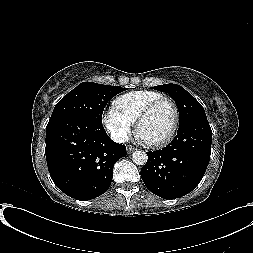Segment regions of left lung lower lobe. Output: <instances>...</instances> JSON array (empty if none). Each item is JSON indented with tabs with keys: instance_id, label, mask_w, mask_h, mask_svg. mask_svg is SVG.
Here are the masks:
<instances>
[{
	"instance_id": "obj_1",
	"label": "left lung lower lobe",
	"mask_w": 253,
	"mask_h": 253,
	"mask_svg": "<svg viewBox=\"0 0 253 253\" xmlns=\"http://www.w3.org/2000/svg\"><path fill=\"white\" fill-rule=\"evenodd\" d=\"M212 131L207 119L179 126L176 137L162 150L148 152L141 169L145 186L164 199L182 197L201 181L210 160Z\"/></svg>"
}]
</instances>
